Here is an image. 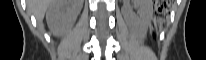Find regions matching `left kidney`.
Returning <instances> with one entry per match:
<instances>
[{"mask_svg": "<svg viewBox=\"0 0 206 60\" xmlns=\"http://www.w3.org/2000/svg\"><path fill=\"white\" fill-rule=\"evenodd\" d=\"M139 10L137 14L128 5L123 8V14L129 25L144 34L150 24L152 0H137Z\"/></svg>", "mask_w": 206, "mask_h": 60, "instance_id": "left-kidney-1", "label": "left kidney"}]
</instances>
